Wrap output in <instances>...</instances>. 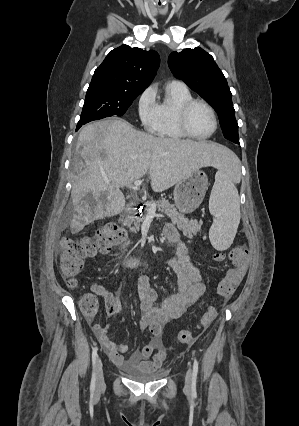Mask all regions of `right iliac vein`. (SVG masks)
<instances>
[{
    "instance_id": "obj_1",
    "label": "right iliac vein",
    "mask_w": 299,
    "mask_h": 426,
    "mask_svg": "<svg viewBox=\"0 0 299 426\" xmlns=\"http://www.w3.org/2000/svg\"><path fill=\"white\" fill-rule=\"evenodd\" d=\"M96 380L97 386L101 387L104 384V374H103V365L100 358L97 359L96 362Z\"/></svg>"
}]
</instances>
